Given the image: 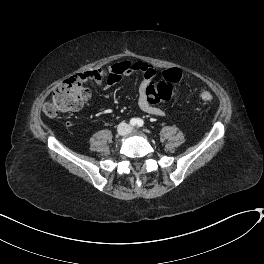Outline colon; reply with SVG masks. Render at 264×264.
<instances>
[{"label": "colon", "instance_id": "1", "mask_svg": "<svg viewBox=\"0 0 264 264\" xmlns=\"http://www.w3.org/2000/svg\"><path fill=\"white\" fill-rule=\"evenodd\" d=\"M183 73L180 69L172 67L162 72V80L147 86L146 95L154 102H167L176 98L173 85L182 80ZM90 98L89 90L77 77L68 78L59 83L52 92V98L43 107L45 115L55 117L64 112L77 111ZM201 99L211 102L213 94L208 88H203Z\"/></svg>", "mask_w": 264, "mask_h": 264}]
</instances>
